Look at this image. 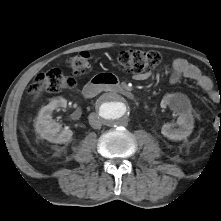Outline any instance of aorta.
<instances>
[{
	"instance_id": "obj_1",
	"label": "aorta",
	"mask_w": 221,
	"mask_h": 221,
	"mask_svg": "<svg viewBox=\"0 0 221 221\" xmlns=\"http://www.w3.org/2000/svg\"><path fill=\"white\" fill-rule=\"evenodd\" d=\"M129 113L128 101L119 94H107L99 100L98 114L106 125L116 126L124 123Z\"/></svg>"
}]
</instances>
